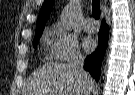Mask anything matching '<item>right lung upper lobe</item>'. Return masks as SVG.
I'll use <instances>...</instances> for the list:
<instances>
[{"mask_svg":"<svg viewBox=\"0 0 135 95\" xmlns=\"http://www.w3.org/2000/svg\"><path fill=\"white\" fill-rule=\"evenodd\" d=\"M53 4L54 0H46L44 2L37 20L36 33L43 31L47 18L52 10Z\"/></svg>","mask_w":135,"mask_h":95,"instance_id":"1","label":"right lung upper lobe"}]
</instances>
